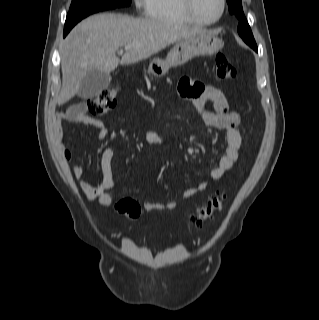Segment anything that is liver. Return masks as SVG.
<instances>
[{
  "mask_svg": "<svg viewBox=\"0 0 319 320\" xmlns=\"http://www.w3.org/2000/svg\"><path fill=\"white\" fill-rule=\"evenodd\" d=\"M206 32L160 19H135L114 13L90 16L78 23L66 37L61 48L62 87L58 105L73 98L88 72L114 71L119 64L128 65L145 60L167 46ZM133 47L116 56L120 47Z\"/></svg>",
  "mask_w": 319,
  "mask_h": 320,
  "instance_id": "6515ba94",
  "label": "liver"
}]
</instances>
